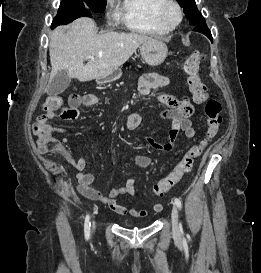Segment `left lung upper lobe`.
<instances>
[{
  "instance_id": "left-lung-upper-lobe-1",
  "label": "left lung upper lobe",
  "mask_w": 261,
  "mask_h": 273,
  "mask_svg": "<svg viewBox=\"0 0 261 273\" xmlns=\"http://www.w3.org/2000/svg\"><path fill=\"white\" fill-rule=\"evenodd\" d=\"M185 12L186 18L193 26L205 23V19L196 7L195 0H177Z\"/></svg>"
}]
</instances>
